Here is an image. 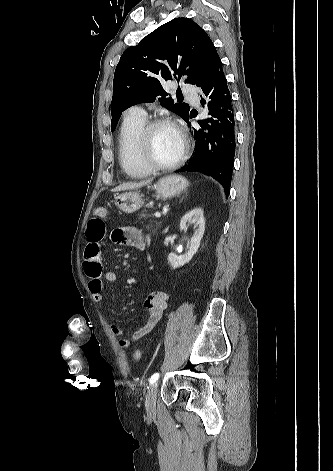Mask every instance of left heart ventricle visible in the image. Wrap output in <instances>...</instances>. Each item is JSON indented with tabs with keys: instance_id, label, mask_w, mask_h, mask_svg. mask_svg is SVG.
<instances>
[{
	"instance_id": "b2bd125f",
	"label": "left heart ventricle",
	"mask_w": 333,
	"mask_h": 471,
	"mask_svg": "<svg viewBox=\"0 0 333 471\" xmlns=\"http://www.w3.org/2000/svg\"><path fill=\"white\" fill-rule=\"evenodd\" d=\"M182 141L178 132L170 126L157 128L151 137L153 157L160 163L174 161L180 153Z\"/></svg>"
}]
</instances>
